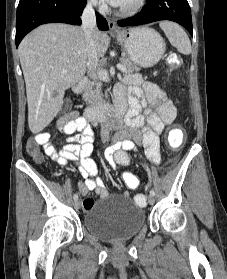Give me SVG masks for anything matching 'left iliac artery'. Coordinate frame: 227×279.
I'll list each match as a JSON object with an SVG mask.
<instances>
[{"label": "left iliac artery", "mask_w": 227, "mask_h": 279, "mask_svg": "<svg viewBox=\"0 0 227 279\" xmlns=\"http://www.w3.org/2000/svg\"><path fill=\"white\" fill-rule=\"evenodd\" d=\"M150 195H152V196H154V195H155L154 190H151V191H150Z\"/></svg>", "instance_id": "44dca946"}]
</instances>
